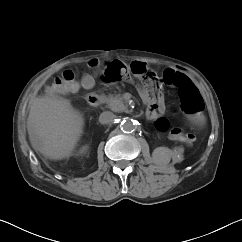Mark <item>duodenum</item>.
Listing matches in <instances>:
<instances>
[{
    "label": "duodenum",
    "instance_id": "duodenum-1",
    "mask_svg": "<svg viewBox=\"0 0 242 242\" xmlns=\"http://www.w3.org/2000/svg\"><path fill=\"white\" fill-rule=\"evenodd\" d=\"M86 101L91 107H98L101 104V97L97 93H89L86 96Z\"/></svg>",
    "mask_w": 242,
    "mask_h": 242
}]
</instances>
